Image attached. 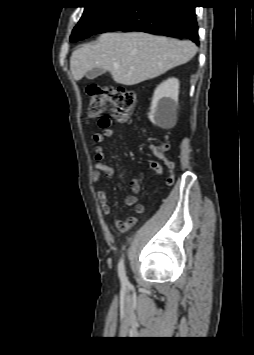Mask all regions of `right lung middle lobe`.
<instances>
[{"instance_id":"dd1d6c3e","label":"right lung middle lobe","mask_w":254,"mask_h":355,"mask_svg":"<svg viewBox=\"0 0 254 355\" xmlns=\"http://www.w3.org/2000/svg\"><path fill=\"white\" fill-rule=\"evenodd\" d=\"M122 3L114 0H102L89 3L84 13L73 29L70 41L82 40L94 34Z\"/></svg>"}]
</instances>
